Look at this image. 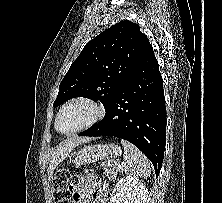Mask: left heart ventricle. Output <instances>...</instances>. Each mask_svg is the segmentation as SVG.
<instances>
[{"label":"left heart ventricle","mask_w":222,"mask_h":203,"mask_svg":"<svg viewBox=\"0 0 222 203\" xmlns=\"http://www.w3.org/2000/svg\"><path fill=\"white\" fill-rule=\"evenodd\" d=\"M94 114V109L87 104H72L62 112L59 128L64 132L75 130L90 121Z\"/></svg>","instance_id":"1"}]
</instances>
